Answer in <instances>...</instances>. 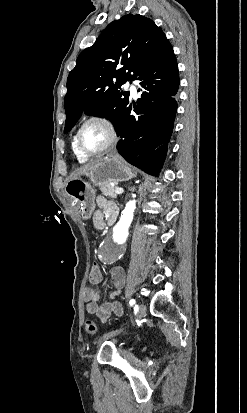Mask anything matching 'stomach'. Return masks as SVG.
I'll return each mask as SVG.
<instances>
[{
	"instance_id": "stomach-1",
	"label": "stomach",
	"mask_w": 247,
	"mask_h": 413,
	"mask_svg": "<svg viewBox=\"0 0 247 413\" xmlns=\"http://www.w3.org/2000/svg\"><path fill=\"white\" fill-rule=\"evenodd\" d=\"M133 176H136L134 168L123 162L120 156H104L94 164V168L84 172L79 178H70L66 182L65 192L67 196L76 200L82 219L87 221L95 211L94 186L129 180Z\"/></svg>"
}]
</instances>
